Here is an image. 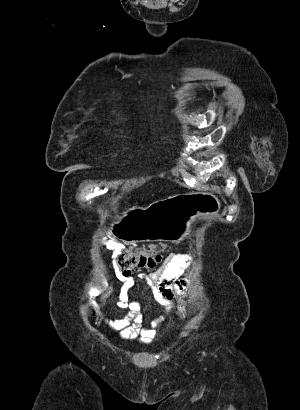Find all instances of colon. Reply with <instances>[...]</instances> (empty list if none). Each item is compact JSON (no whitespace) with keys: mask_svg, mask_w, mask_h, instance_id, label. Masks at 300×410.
Wrapping results in <instances>:
<instances>
[{"mask_svg":"<svg viewBox=\"0 0 300 410\" xmlns=\"http://www.w3.org/2000/svg\"><path fill=\"white\" fill-rule=\"evenodd\" d=\"M162 255L154 250L130 249L114 259L117 268L125 276L142 269H153L162 262Z\"/></svg>","mask_w":300,"mask_h":410,"instance_id":"1","label":"colon"}]
</instances>
